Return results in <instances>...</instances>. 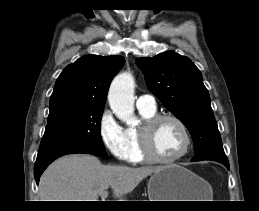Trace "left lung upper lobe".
I'll use <instances>...</instances> for the list:
<instances>
[{
	"mask_svg": "<svg viewBox=\"0 0 259 211\" xmlns=\"http://www.w3.org/2000/svg\"><path fill=\"white\" fill-rule=\"evenodd\" d=\"M149 90L188 128L194 142L192 161H228L201 72L187 57L167 51L139 58Z\"/></svg>",
	"mask_w": 259,
	"mask_h": 211,
	"instance_id": "1",
	"label": "left lung upper lobe"
}]
</instances>
